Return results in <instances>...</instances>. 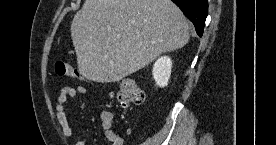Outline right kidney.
I'll return each instance as SVG.
<instances>
[{
  "instance_id": "obj_1",
  "label": "right kidney",
  "mask_w": 276,
  "mask_h": 145,
  "mask_svg": "<svg viewBox=\"0 0 276 145\" xmlns=\"http://www.w3.org/2000/svg\"><path fill=\"white\" fill-rule=\"evenodd\" d=\"M172 60L168 56H163L157 59L153 66V78L156 85L165 87L168 84L171 75Z\"/></svg>"
}]
</instances>
